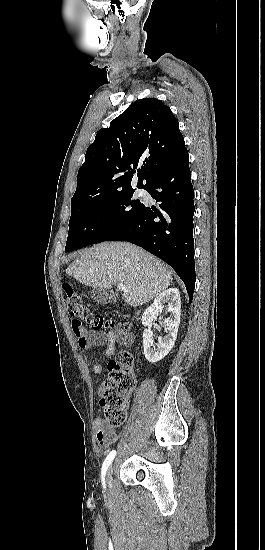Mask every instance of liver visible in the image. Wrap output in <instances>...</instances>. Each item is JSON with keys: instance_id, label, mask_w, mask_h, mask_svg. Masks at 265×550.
Instances as JSON below:
<instances>
[{"instance_id": "liver-1", "label": "liver", "mask_w": 265, "mask_h": 550, "mask_svg": "<svg viewBox=\"0 0 265 550\" xmlns=\"http://www.w3.org/2000/svg\"><path fill=\"white\" fill-rule=\"evenodd\" d=\"M66 273L80 283L101 289L124 284L122 299L130 306L147 303L165 291L172 269L144 249L128 242H103L83 249Z\"/></svg>"}]
</instances>
